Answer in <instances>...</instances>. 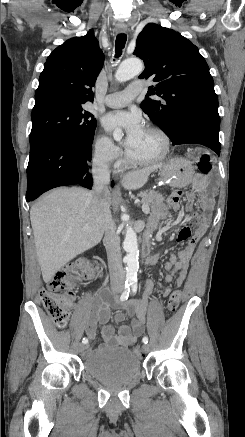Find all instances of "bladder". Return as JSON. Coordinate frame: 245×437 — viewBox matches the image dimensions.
I'll return each instance as SVG.
<instances>
[{
  "label": "bladder",
  "mask_w": 245,
  "mask_h": 437,
  "mask_svg": "<svg viewBox=\"0 0 245 437\" xmlns=\"http://www.w3.org/2000/svg\"><path fill=\"white\" fill-rule=\"evenodd\" d=\"M86 373L108 385H121L140 370V359L126 348H99L83 362Z\"/></svg>",
  "instance_id": "1"
}]
</instances>
